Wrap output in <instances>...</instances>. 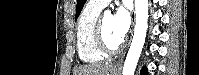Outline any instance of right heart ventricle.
Here are the masks:
<instances>
[{"label": "right heart ventricle", "mask_w": 199, "mask_h": 75, "mask_svg": "<svg viewBox=\"0 0 199 75\" xmlns=\"http://www.w3.org/2000/svg\"><path fill=\"white\" fill-rule=\"evenodd\" d=\"M101 8L90 3L82 11L76 28V42L79 58L85 63H98L105 54L96 46L94 28Z\"/></svg>", "instance_id": "right-heart-ventricle-1"}]
</instances>
